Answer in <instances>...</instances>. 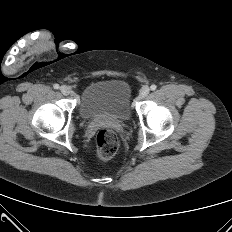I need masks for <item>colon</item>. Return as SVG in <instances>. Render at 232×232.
Instances as JSON below:
<instances>
[{"label":"colon","mask_w":232,"mask_h":232,"mask_svg":"<svg viewBox=\"0 0 232 232\" xmlns=\"http://www.w3.org/2000/svg\"><path fill=\"white\" fill-rule=\"evenodd\" d=\"M97 154L101 159L112 158L119 146L118 137L111 129H101L96 136Z\"/></svg>","instance_id":"1"}]
</instances>
